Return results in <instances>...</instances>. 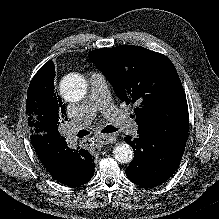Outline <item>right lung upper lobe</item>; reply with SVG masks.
<instances>
[{
	"label": "right lung upper lobe",
	"instance_id": "obj_1",
	"mask_svg": "<svg viewBox=\"0 0 219 219\" xmlns=\"http://www.w3.org/2000/svg\"><path fill=\"white\" fill-rule=\"evenodd\" d=\"M54 77H55V69L52 61L47 62L44 66L40 68V70L35 74L31 81L38 82L41 84L45 95L53 96L56 100H58L61 104L62 101L58 95V93L54 90ZM63 105V104H62ZM65 106V105H64ZM64 119L67 120L66 111L64 107ZM39 135H43L40 133H32L31 141L36 139Z\"/></svg>",
	"mask_w": 219,
	"mask_h": 219
}]
</instances>
